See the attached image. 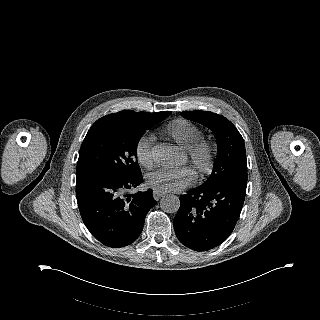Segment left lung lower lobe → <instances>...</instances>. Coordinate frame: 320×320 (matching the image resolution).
I'll return each instance as SVG.
<instances>
[{"label": "left lung lower lobe", "mask_w": 320, "mask_h": 320, "mask_svg": "<svg viewBox=\"0 0 320 320\" xmlns=\"http://www.w3.org/2000/svg\"><path fill=\"white\" fill-rule=\"evenodd\" d=\"M247 180L226 179L199 186L180 197L174 230L180 242L196 251L221 244L232 233L246 195Z\"/></svg>", "instance_id": "1"}]
</instances>
